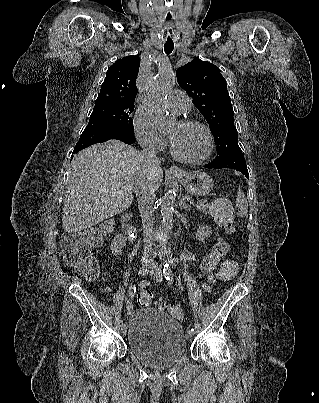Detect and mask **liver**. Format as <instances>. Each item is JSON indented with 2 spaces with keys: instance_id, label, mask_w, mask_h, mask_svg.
I'll list each match as a JSON object with an SVG mask.
<instances>
[{
  "instance_id": "liver-1",
  "label": "liver",
  "mask_w": 319,
  "mask_h": 403,
  "mask_svg": "<svg viewBox=\"0 0 319 403\" xmlns=\"http://www.w3.org/2000/svg\"><path fill=\"white\" fill-rule=\"evenodd\" d=\"M147 174L142 153L118 140L76 154L64 200V231H82L124 212ZM151 177L157 190L163 179L160 166Z\"/></svg>"
}]
</instances>
